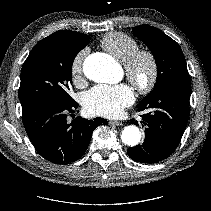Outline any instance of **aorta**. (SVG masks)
I'll return each instance as SVG.
<instances>
[{
    "label": "aorta",
    "mask_w": 211,
    "mask_h": 211,
    "mask_svg": "<svg viewBox=\"0 0 211 211\" xmlns=\"http://www.w3.org/2000/svg\"><path fill=\"white\" fill-rule=\"evenodd\" d=\"M117 68L106 55H91L83 64L85 76L95 82L107 83L117 80ZM122 142L128 146H136L141 140V132L138 127L129 125L124 128L121 135Z\"/></svg>",
    "instance_id": "762f6f07"
}]
</instances>
